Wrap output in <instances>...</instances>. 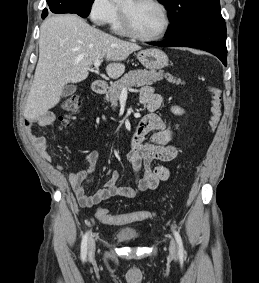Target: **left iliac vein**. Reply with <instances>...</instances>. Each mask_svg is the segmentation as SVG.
Masks as SVG:
<instances>
[{"label":"left iliac vein","instance_id":"1","mask_svg":"<svg viewBox=\"0 0 259 283\" xmlns=\"http://www.w3.org/2000/svg\"><path fill=\"white\" fill-rule=\"evenodd\" d=\"M170 253L173 256H176L177 254V247H176V242L174 239H171L170 241Z\"/></svg>","mask_w":259,"mask_h":283}]
</instances>
